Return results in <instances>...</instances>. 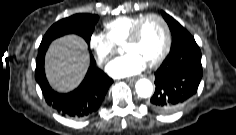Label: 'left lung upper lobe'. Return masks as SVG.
Here are the masks:
<instances>
[{
    "mask_svg": "<svg viewBox=\"0 0 236 135\" xmlns=\"http://www.w3.org/2000/svg\"><path fill=\"white\" fill-rule=\"evenodd\" d=\"M161 14H162L163 18L165 19V21L168 23L169 28H170L171 25H173L177 22L175 19H173L167 13L161 11ZM186 36H187V40H193L194 41V38L190 35V33L188 31H187ZM174 46H175V44L173 43V40H172V46L171 47H174Z\"/></svg>",
    "mask_w": 236,
    "mask_h": 135,
    "instance_id": "5c2ea615",
    "label": "left lung upper lobe"
}]
</instances>
